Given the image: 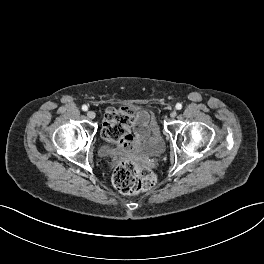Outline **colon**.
I'll return each mask as SVG.
<instances>
[{
  "mask_svg": "<svg viewBox=\"0 0 264 264\" xmlns=\"http://www.w3.org/2000/svg\"><path fill=\"white\" fill-rule=\"evenodd\" d=\"M107 125L102 135L109 141L123 139L133 120L129 108L109 109L105 114ZM113 184L122 193L132 194L149 190L156 184L153 172L147 167L130 160L120 161L113 171Z\"/></svg>",
  "mask_w": 264,
  "mask_h": 264,
  "instance_id": "5ec220e1",
  "label": "colon"
}]
</instances>
